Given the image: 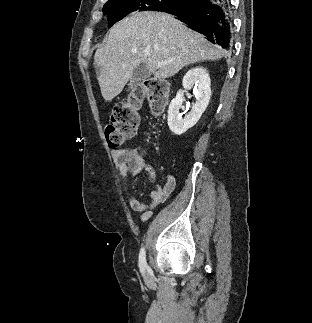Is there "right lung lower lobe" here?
Wrapping results in <instances>:
<instances>
[{
    "label": "right lung lower lobe",
    "mask_w": 312,
    "mask_h": 323,
    "mask_svg": "<svg viewBox=\"0 0 312 323\" xmlns=\"http://www.w3.org/2000/svg\"><path fill=\"white\" fill-rule=\"evenodd\" d=\"M231 4L229 0H184L180 5L163 9L176 18L206 36L213 44L226 51L232 46Z\"/></svg>",
    "instance_id": "right-lung-lower-lobe-1"
}]
</instances>
